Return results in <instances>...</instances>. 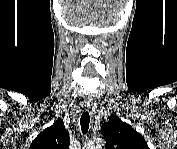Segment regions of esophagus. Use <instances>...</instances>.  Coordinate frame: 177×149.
Listing matches in <instances>:
<instances>
[{
    "label": "esophagus",
    "instance_id": "34e87169",
    "mask_svg": "<svg viewBox=\"0 0 177 149\" xmlns=\"http://www.w3.org/2000/svg\"><path fill=\"white\" fill-rule=\"evenodd\" d=\"M84 107H85V109H90L91 108V103L89 102V101H86L85 103H84Z\"/></svg>",
    "mask_w": 177,
    "mask_h": 149
}]
</instances>
